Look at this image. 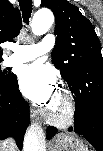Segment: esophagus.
Listing matches in <instances>:
<instances>
[{"label":"esophagus","instance_id":"obj_1","mask_svg":"<svg viewBox=\"0 0 103 151\" xmlns=\"http://www.w3.org/2000/svg\"><path fill=\"white\" fill-rule=\"evenodd\" d=\"M31 118H32V121L34 122V123H36L37 122V112H36V110L35 109H33V108H31Z\"/></svg>","mask_w":103,"mask_h":151}]
</instances>
